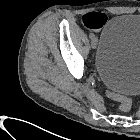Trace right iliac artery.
Masks as SVG:
<instances>
[{"label": "right iliac artery", "instance_id": "1", "mask_svg": "<svg viewBox=\"0 0 140 140\" xmlns=\"http://www.w3.org/2000/svg\"><path fill=\"white\" fill-rule=\"evenodd\" d=\"M94 37H95L94 34L91 33V34H90V38L92 39V38H94Z\"/></svg>", "mask_w": 140, "mask_h": 140}]
</instances>
